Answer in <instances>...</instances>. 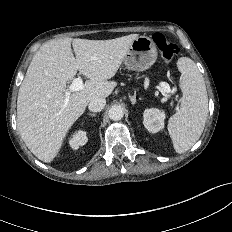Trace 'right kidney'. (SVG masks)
Listing matches in <instances>:
<instances>
[{"label": "right kidney", "instance_id": "obj_1", "mask_svg": "<svg viewBox=\"0 0 232 232\" xmlns=\"http://www.w3.org/2000/svg\"><path fill=\"white\" fill-rule=\"evenodd\" d=\"M88 141L86 132L77 131L69 140V144L72 149L77 150L80 146H83Z\"/></svg>", "mask_w": 232, "mask_h": 232}]
</instances>
